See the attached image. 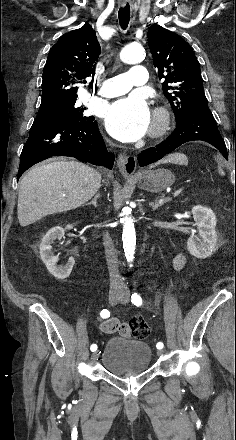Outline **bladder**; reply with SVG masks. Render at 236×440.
Returning <instances> with one entry per match:
<instances>
[{
  "label": "bladder",
  "instance_id": "bladder-1",
  "mask_svg": "<svg viewBox=\"0 0 236 440\" xmlns=\"http://www.w3.org/2000/svg\"><path fill=\"white\" fill-rule=\"evenodd\" d=\"M151 361L152 350L146 342L120 336L112 337L101 354L104 368L116 375L143 373Z\"/></svg>",
  "mask_w": 236,
  "mask_h": 440
}]
</instances>
